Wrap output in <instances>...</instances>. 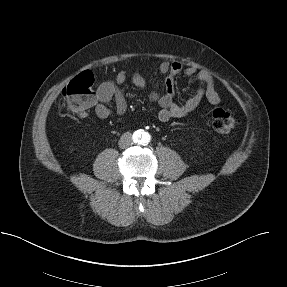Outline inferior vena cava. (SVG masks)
<instances>
[{
    "label": "inferior vena cava",
    "mask_w": 287,
    "mask_h": 287,
    "mask_svg": "<svg viewBox=\"0 0 287 287\" xmlns=\"http://www.w3.org/2000/svg\"><path fill=\"white\" fill-rule=\"evenodd\" d=\"M120 148H127L133 144L131 133H124L118 142Z\"/></svg>",
    "instance_id": "602c4592"
}]
</instances>
